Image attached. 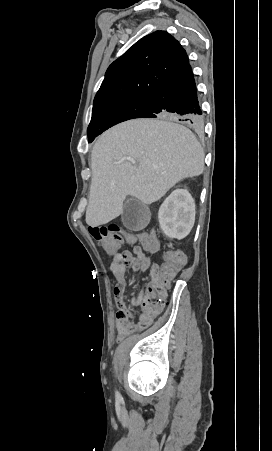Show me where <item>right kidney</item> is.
<instances>
[{"label":"right kidney","mask_w":272,"mask_h":451,"mask_svg":"<svg viewBox=\"0 0 272 451\" xmlns=\"http://www.w3.org/2000/svg\"><path fill=\"white\" fill-rule=\"evenodd\" d=\"M158 220L168 237H186L195 222V204L188 190H174L161 204Z\"/></svg>","instance_id":"obj_1"}]
</instances>
